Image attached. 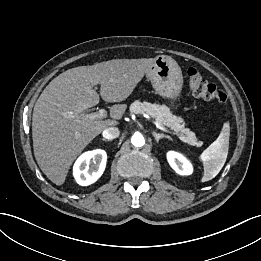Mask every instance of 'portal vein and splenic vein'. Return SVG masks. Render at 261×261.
Listing matches in <instances>:
<instances>
[{
    "mask_svg": "<svg viewBox=\"0 0 261 261\" xmlns=\"http://www.w3.org/2000/svg\"><path fill=\"white\" fill-rule=\"evenodd\" d=\"M107 116V113L105 111V109L101 108L99 110V112H94V113H90V114H86L85 115V118L86 119H90V120H95V119H103ZM153 123L156 125L157 128H159L160 130L162 131H165V132H169V133H172L170 132L169 130H167L161 123L157 122V121H153ZM175 134V133H173Z\"/></svg>",
    "mask_w": 261,
    "mask_h": 261,
    "instance_id": "18ae733b",
    "label": "portal vein and splenic vein"
}]
</instances>
